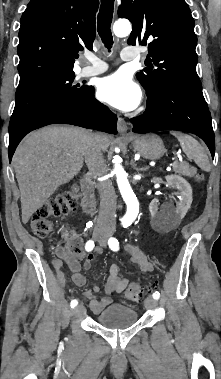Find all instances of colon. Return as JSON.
I'll return each instance as SVG.
<instances>
[{
	"label": "colon",
	"instance_id": "colon-1",
	"mask_svg": "<svg viewBox=\"0 0 221 379\" xmlns=\"http://www.w3.org/2000/svg\"><path fill=\"white\" fill-rule=\"evenodd\" d=\"M191 176L197 182L202 180V174L195 170L191 171ZM80 197H82V194L74 189L42 204L30 220V227L33 233L41 238L49 236L53 231L51 218L68 214L75 208ZM66 235L69 240L67 252L76 257L81 256L80 240L72 232H68ZM145 294V287L138 282L129 284L125 290L126 297L134 302L143 301Z\"/></svg>",
	"mask_w": 221,
	"mask_h": 379
}]
</instances>
